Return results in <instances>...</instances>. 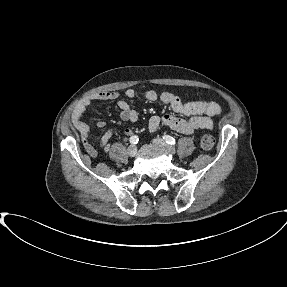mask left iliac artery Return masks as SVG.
<instances>
[{"label":"left iliac artery","mask_w":287,"mask_h":287,"mask_svg":"<svg viewBox=\"0 0 287 287\" xmlns=\"http://www.w3.org/2000/svg\"><path fill=\"white\" fill-rule=\"evenodd\" d=\"M163 139L168 143V144H171V145H174L176 144V140L170 136V135H164L163 136Z\"/></svg>","instance_id":"left-iliac-artery-1"}]
</instances>
